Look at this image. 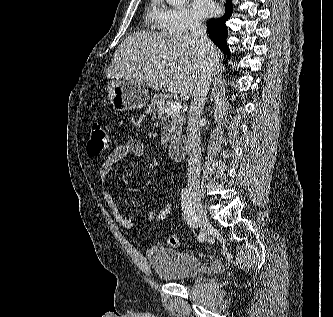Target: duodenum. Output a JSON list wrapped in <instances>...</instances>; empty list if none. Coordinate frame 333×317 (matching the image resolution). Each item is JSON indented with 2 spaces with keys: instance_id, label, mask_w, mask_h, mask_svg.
Segmentation results:
<instances>
[{
  "instance_id": "1",
  "label": "duodenum",
  "mask_w": 333,
  "mask_h": 317,
  "mask_svg": "<svg viewBox=\"0 0 333 317\" xmlns=\"http://www.w3.org/2000/svg\"><path fill=\"white\" fill-rule=\"evenodd\" d=\"M188 150V140L186 136H180L174 139L168 148L169 156L174 161H181Z\"/></svg>"
}]
</instances>
